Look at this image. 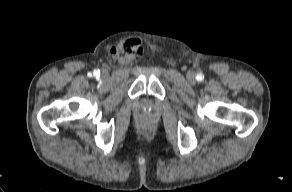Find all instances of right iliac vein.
<instances>
[{
	"label": "right iliac vein",
	"mask_w": 292,
	"mask_h": 192,
	"mask_svg": "<svg viewBox=\"0 0 292 192\" xmlns=\"http://www.w3.org/2000/svg\"><path fill=\"white\" fill-rule=\"evenodd\" d=\"M102 76H103V77H105V76H106V73H105V72H103V73H102Z\"/></svg>",
	"instance_id": "right-iliac-vein-1"
}]
</instances>
